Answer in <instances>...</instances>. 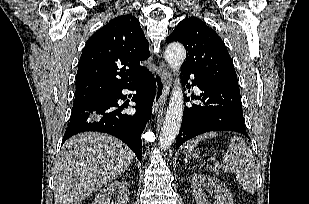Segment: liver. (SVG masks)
Returning <instances> with one entry per match:
<instances>
[{"mask_svg": "<svg viewBox=\"0 0 309 204\" xmlns=\"http://www.w3.org/2000/svg\"><path fill=\"white\" fill-rule=\"evenodd\" d=\"M134 153L104 133L85 132L68 139L55 162L54 204H81L130 166Z\"/></svg>", "mask_w": 309, "mask_h": 204, "instance_id": "1", "label": "liver"}]
</instances>
